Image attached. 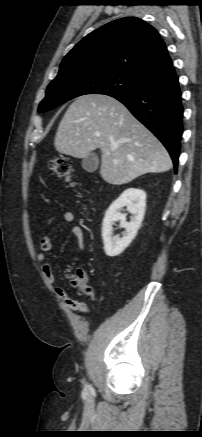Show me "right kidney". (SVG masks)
<instances>
[{
  "mask_svg": "<svg viewBox=\"0 0 202 437\" xmlns=\"http://www.w3.org/2000/svg\"><path fill=\"white\" fill-rule=\"evenodd\" d=\"M132 214L131 221H126V214H122L123 207ZM146 208V193L141 189L129 188L117 198L106 211L102 225L104 251L107 256L114 257L121 254L133 241L141 227ZM120 221L125 228L123 236H113V225Z\"/></svg>",
  "mask_w": 202,
  "mask_h": 437,
  "instance_id": "ca27d5eb",
  "label": "right kidney"
}]
</instances>
